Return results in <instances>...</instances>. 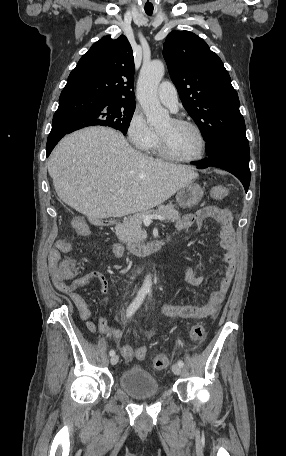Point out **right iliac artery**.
Wrapping results in <instances>:
<instances>
[{
	"label": "right iliac artery",
	"instance_id": "obj_1",
	"mask_svg": "<svg viewBox=\"0 0 286 456\" xmlns=\"http://www.w3.org/2000/svg\"><path fill=\"white\" fill-rule=\"evenodd\" d=\"M146 294H147V291L143 290V289L138 292L134 301L127 308V311H126L127 318L131 317L136 312V310L141 306V304L143 303V301L145 299ZM109 354H110V356H113V355H115V351L110 350Z\"/></svg>",
	"mask_w": 286,
	"mask_h": 456
}]
</instances>
